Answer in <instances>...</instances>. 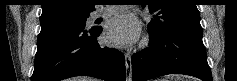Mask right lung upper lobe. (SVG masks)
I'll use <instances>...</instances> for the list:
<instances>
[{
	"label": "right lung upper lobe",
	"instance_id": "cb5924a9",
	"mask_svg": "<svg viewBox=\"0 0 237 81\" xmlns=\"http://www.w3.org/2000/svg\"><path fill=\"white\" fill-rule=\"evenodd\" d=\"M94 10L91 0H43L40 21L89 16Z\"/></svg>",
	"mask_w": 237,
	"mask_h": 81
}]
</instances>
